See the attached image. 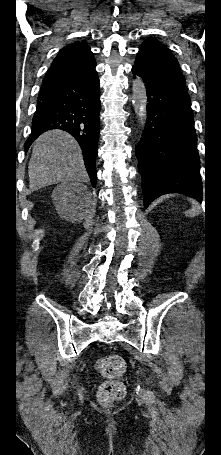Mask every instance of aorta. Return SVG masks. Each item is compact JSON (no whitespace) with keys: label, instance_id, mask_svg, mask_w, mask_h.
<instances>
[{"label":"aorta","instance_id":"obj_1","mask_svg":"<svg viewBox=\"0 0 221 455\" xmlns=\"http://www.w3.org/2000/svg\"><path fill=\"white\" fill-rule=\"evenodd\" d=\"M142 85L140 82H136L133 87V94H132V105L136 110L137 117L141 120L142 123L145 122L147 117L146 111V101L142 97Z\"/></svg>","mask_w":221,"mask_h":455}]
</instances>
